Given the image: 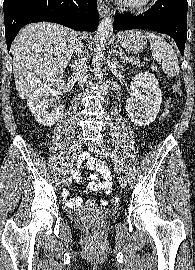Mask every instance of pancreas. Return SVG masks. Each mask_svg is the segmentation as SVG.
Wrapping results in <instances>:
<instances>
[{"label":"pancreas","instance_id":"1","mask_svg":"<svg viewBox=\"0 0 195 270\" xmlns=\"http://www.w3.org/2000/svg\"><path fill=\"white\" fill-rule=\"evenodd\" d=\"M120 60L123 64L131 63V64H137L140 65V61L137 58L130 57L126 54H122V57H120Z\"/></svg>","mask_w":195,"mask_h":270}]
</instances>
